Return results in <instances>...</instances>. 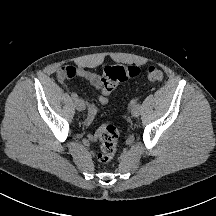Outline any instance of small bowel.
I'll return each instance as SVG.
<instances>
[{"instance_id": "c3829d8e", "label": "small bowel", "mask_w": 216, "mask_h": 216, "mask_svg": "<svg viewBox=\"0 0 216 216\" xmlns=\"http://www.w3.org/2000/svg\"><path fill=\"white\" fill-rule=\"evenodd\" d=\"M76 76L82 78L83 80H85L95 88V90L98 93V101L100 104L107 105L109 103V96L111 92H107L104 90L98 74L84 68H78L76 69ZM95 113H96L95 105L89 102L88 113L85 119V124L87 126H90L93 123ZM96 135H97L96 132L90 134V139L95 140Z\"/></svg>"}]
</instances>
